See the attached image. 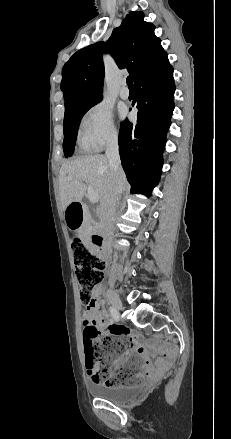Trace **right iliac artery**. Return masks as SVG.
Returning a JSON list of instances; mask_svg holds the SVG:
<instances>
[{"label":"right iliac artery","mask_w":231,"mask_h":439,"mask_svg":"<svg viewBox=\"0 0 231 439\" xmlns=\"http://www.w3.org/2000/svg\"><path fill=\"white\" fill-rule=\"evenodd\" d=\"M110 313H111V315H112V317H113L114 309H113L112 307H110ZM116 321H117V320H116Z\"/></svg>","instance_id":"82829eb1"}]
</instances>
